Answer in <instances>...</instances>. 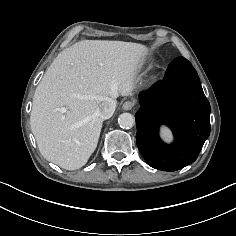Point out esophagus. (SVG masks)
I'll list each match as a JSON object with an SVG mask.
<instances>
[{
	"mask_svg": "<svg viewBox=\"0 0 236 236\" xmlns=\"http://www.w3.org/2000/svg\"><path fill=\"white\" fill-rule=\"evenodd\" d=\"M133 107H134V102L132 101H126L122 106L123 110L126 111L131 110Z\"/></svg>",
	"mask_w": 236,
	"mask_h": 236,
	"instance_id": "34e87169",
	"label": "esophagus"
}]
</instances>
